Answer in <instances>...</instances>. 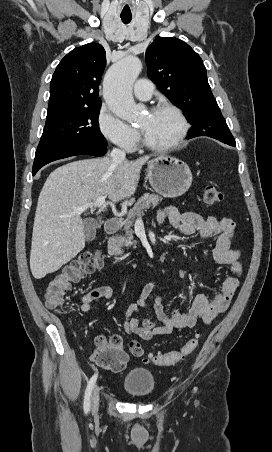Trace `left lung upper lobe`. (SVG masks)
Returning a JSON list of instances; mask_svg holds the SVG:
<instances>
[{
	"label": "left lung upper lobe",
	"mask_w": 272,
	"mask_h": 452,
	"mask_svg": "<svg viewBox=\"0 0 272 452\" xmlns=\"http://www.w3.org/2000/svg\"><path fill=\"white\" fill-rule=\"evenodd\" d=\"M148 76L185 112L190 133L234 140L207 81L200 56L174 37L156 38L146 51Z\"/></svg>",
	"instance_id": "1"
}]
</instances>
